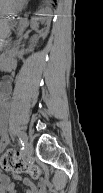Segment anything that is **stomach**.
Masks as SVG:
<instances>
[{
	"label": "stomach",
	"mask_w": 103,
	"mask_h": 193,
	"mask_svg": "<svg viewBox=\"0 0 103 193\" xmlns=\"http://www.w3.org/2000/svg\"><path fill=\"white\" fill-rule=\"evenodd\" d=\"M21 7H22V0H5L3 7H1V13L3 16L12 15L17 11H19ZM4 31H6V29Z\"/></svg>",
	"instance_id": "obj_1"
}]
</instances>
